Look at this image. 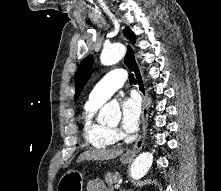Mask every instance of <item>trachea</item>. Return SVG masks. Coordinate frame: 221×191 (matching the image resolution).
Returning a JSON list of instances; mask_svg holds the SVG:
<instances>
[{
	"instance_id": "3493384b",
	"label": "trachea",
	"mask_w": 221,
	"mask_h": 191,
	"mask_svg": "<svg viewBox=\"0 0 221 191\" xmlns=\"http://www.w3.org/2000/svg\"><path fill=\"white\" fill-rule=\"evenodd\" d=\"M129 80H130V82L133 83V84L136 83V80H135V77H134L133 74H130V75H129Z\"/></svg>"
}]
</instances>
